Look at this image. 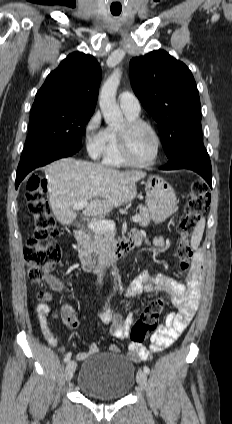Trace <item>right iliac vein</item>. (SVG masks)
I'll return each mask as SVG.
<instances>
[{"label":"right iliac vein","instance_id":"63e3f726","mask_svg":"<svg viewBox=\"0 0 232 424\" xmlns=\"http://www.w3.org/2000/svg\"><path fill=\"white\" fill-rule=\"evenodd\" d=\"M75 369H76V363L73 360H70L67 363L66 369H65V375L68 381L72 379Z\"/></svg>","mask_w":232,"mask_h":424}]
</instances>
